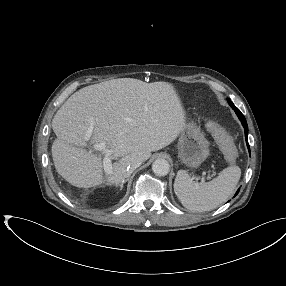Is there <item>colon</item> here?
Returning a JSON list of instances; mask_svg holds the SVG:
<instances>
[{
	"label": "colon",
	"instance_id": "colon-1",
	"mask_svg": "<svg viewBox=\"0 0 286 286\" xmlns=\"http://www.w3.org/2000/svg\"><path fill=\"white\" fill-rule=\"evenodd\" d=\"M207 128L219 146L227 162L232 163L237 158L236 146L226 130L215 121H210Z\"/></svg>",
	"mask_w": 286,
	"mask_h": 286
}]
</instances>
